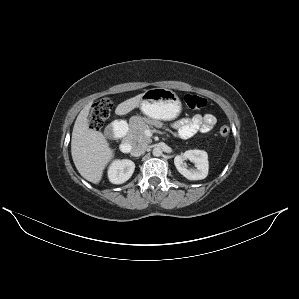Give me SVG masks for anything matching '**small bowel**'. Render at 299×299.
<instances>
[{
    "mask_svg": "<svg viewBox=\"0 0 299 299\" xmlns=\"http://www.w3.org/2000/svg\"><path fill=\"white\" fill-rule=\"evenodd\" d=\"M216 124V118L212 114H197L191 118H182L173 124L176 135L180 138H189L196 133H209Z\"/></svg>",
    "mask_w": 299,
    "mask_h": 299,
    "instance_id": "1",
    "label": "small bowel"
}]
</instances>
